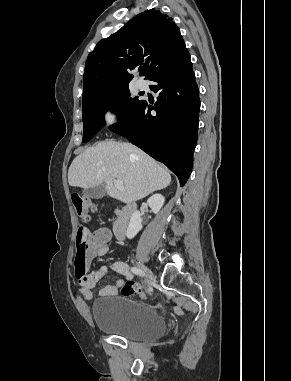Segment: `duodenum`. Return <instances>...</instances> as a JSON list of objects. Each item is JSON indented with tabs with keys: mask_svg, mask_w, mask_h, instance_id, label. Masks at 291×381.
I'll return each mask as SVG.
<instances>
[{
	"mask_svg": "<svg viewBox=\"0 0 291 381\" xmlns=\"http://www.w3.org/2000/svg\"><path fill=\"white\" fill-rule=\"evenodd\" d=\"M135 208L136 205L133 202H130L118 210L113 224V233L118 239L122 240L125 237L130 217Z\"/></svg>",
	"mask_w": 291,
	"mask_h": 381,
	"instance_id": "obj_1",
	"label": "duodenum"
}]
</instances>
